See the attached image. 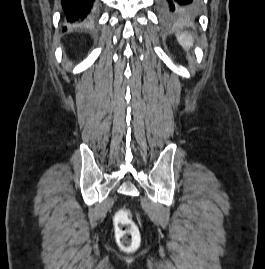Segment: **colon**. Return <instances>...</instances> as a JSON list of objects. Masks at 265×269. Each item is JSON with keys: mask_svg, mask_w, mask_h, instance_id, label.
I'll return each instance as SVG.
<instances>
[{"mask_svg": "<svg viewBox=\"0 0 265 269\" xmlns=\"http://www.w3.org/2000/svg\"><path fill=\"white\" fill-rule=\"evenodd\" d=\"M117 236L122 246H132L138 239V229L125 210L116 214Z\"/></svg>", "mask_w": 265, "mask_h": 269, "instance_id": "5ec220e1", "label": "colon"}]
</instances>
